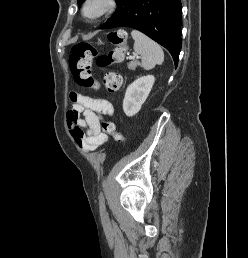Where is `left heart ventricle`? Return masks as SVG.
Listing matches in <instances>:
<instances>
[{"instance_id": "left-heart-ventricle-1", "label": "left heart ventricle", "mask_w": 248, "mask_h": 258, "mask_svg": "<svg viewBox=\"0 0 248 258\" xmlns=\"http://www.w3.org/2000/svg\"><path fill=\"white\" fill-rule=\"evenodd\" d=\"M98 7H99V4H95V5L92 6L91 10H92V11H95V10L98 9Z\"/></svg>"}]
</instances>
